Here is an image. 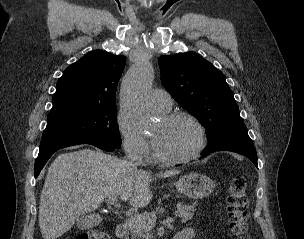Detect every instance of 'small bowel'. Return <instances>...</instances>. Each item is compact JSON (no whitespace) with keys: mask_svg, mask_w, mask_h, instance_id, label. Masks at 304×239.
<instances>
[{"mask_svg":"<svg viewBox=\"0 0 304 239\" xmlns=\"http://www.w3.org/2000/svg\"><path fill=\"white\" fill-rule=\"evenodd\" d=\"M184 239H192L194 236V232L192 229H186L179 233Z\"/></svg>","mask_w":304,"mask_h":239,"instance_id":"c3829d8e","label":"small bowel"}]
</instances>
